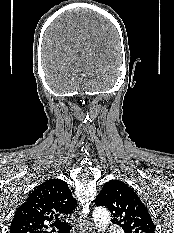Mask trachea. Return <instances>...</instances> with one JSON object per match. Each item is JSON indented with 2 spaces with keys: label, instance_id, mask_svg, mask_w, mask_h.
Instances as JSON below:
<instances>
[{
  "label": "trachea",
  "instance_id": "trachea-1",
  "mask_svg": "<svg viewBox=\"0 0 174 233\" xmlns=\"http://www.w3.org/2000/svg\"><path fill=\"white\" fill-rule=\"evenodd\" d=\"M52 226L58 229V233H70L72 226L67 222H54Z\"/></svg>",
  "mask_w": 174,
  "mask_h": 233
}]
</instances>
